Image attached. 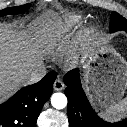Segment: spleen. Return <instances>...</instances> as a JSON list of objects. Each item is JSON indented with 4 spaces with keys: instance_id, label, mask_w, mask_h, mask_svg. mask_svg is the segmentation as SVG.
Masks as SVG:
<instances>
[{
    "instance_id": "1",
    "label": "spleen",
    "mask_w": 127,
    "mask_h": 127,
    "mask_svg": "<svg viewBox=\"0 0 127 127\" xmlns=\"http://www.w3.org/2000/svg\"><path fill=\"white\" fill-rule=\"evenodd\" d=\"M127 113V97L123 100L110 105L105 111L102 112V115L111 119H120Z\"/></svg>"
}]
</instances>
